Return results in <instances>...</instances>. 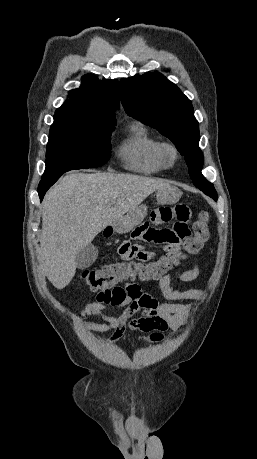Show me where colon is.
<instances>
[{
	"label": "colon",
	"instance_id": "colon-1",
	"mask_svg": "<svg viewBox=\"0 0 257 459\" xmlns=\"http://www.w3.org/2000/svg\"><path fill=\"white\" fill-rule=\"evenodd\" d=\"M208 221V213L201 211L191 226L196 227V236L186 241L183 251H176L174 256L171 255V251H165L160 259L148 261L147 264H117L116 262L98 269H86L82 274L83 280L91 289L103 290L116 283L157 278L175 262L196 253L203 246L209 238Z\"/></svg>",
	"mask_w": 257,
	"mask_h": 459
}]
</instances>
